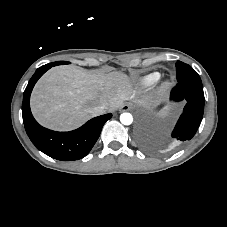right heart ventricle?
I'll use <instances>...</instances> for the list:
<instances>
[{"label":"right heart ventricle","mask_w":227,"mask_h":227,"mask_svg":"<svg viewBox=\"0 0 227 227\" xmlns=\"http://www.w3.org/2000/svg\"><path fill=\"white\" fill-rule=\"evenodd\" d=\"M159 78H160V74L158 72H153V73L143 76L139 80V84L141 86H145V87L150 86V85H153L155 82H157Z\"/></svg>","instance_id":"right-heart-ventricle-1"}]
</instances>
